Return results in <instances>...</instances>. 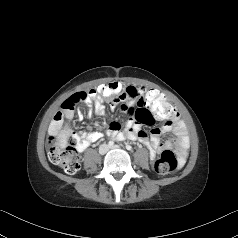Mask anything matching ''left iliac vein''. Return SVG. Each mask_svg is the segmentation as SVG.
I'll list each match as a JSON object with an SVG mask.
<instances>
[{"mask_svg":"<svg viewBox=\"0 0 238 238\" xmlns=\"http://www.w3.org/2000/svg\"><path fill=\"white\" fill-rule=\"evenodd\" d=\"M121 147L119 145H114L112 147H110V149H120Z\"/></svg>","mask_w":238,"mask_h":238,"instance_id":"obj_1","label":"left iliac vein"}]
</instances>
